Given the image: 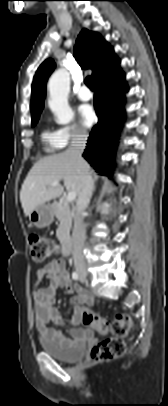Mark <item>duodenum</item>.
Listing matches in <instances>:
<instances>
[{
	"label": "duodenum",
	"instance_id": "1",
	"mask_svg": "<svg viewBox=\"0 0 168 406\" xmlns=\"http://www.w3.org/2000/svg\"><path fill=\"white\" fill-rule=\"evenodd\" d=\"M60 246L62 253L65 255H69L72 250L71 238L69 236H62L60 239Z\"/></svg>",
	"mask_w": 168,
	"mask_h": 406
}]
</instances>
